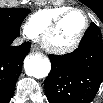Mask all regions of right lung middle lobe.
Returning <instances> with one entry per match:
<instances>
[{"instance_id":"1","label":"right lung middle lobe","mask_w":103,"mask_h":103,"mask_svg":"<svg viewBox=\"0 0 103 103\" xmlns=\"http://www.w3.org/2000/svg\"><path fill=\"white\" fill-rule=\"evenodd\" d=\"M30 12L22 8H0V29L19 33L20 25Z\"/></svg>"}]
</instances>
